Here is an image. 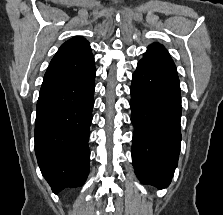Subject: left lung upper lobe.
Segmentation results:
<instances>
[{
	"label": "left lung upper lobe",
	"mask_w": 223,
	"mask_h": 215,
	"mask_svg": "<svg viewBox=\"0 0 223 215\" xmlns=\"http://www.w3.org/2000/svg\"><path fill=\"white\" fill-rule=\"evenodd\" d=\"M141 60L176 68L168 51L159 43L150 45Z\"/></svg>",
	"instance_id": "5c2ea615"
}]
</instances>
